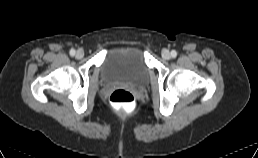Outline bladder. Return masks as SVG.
Instances as JSON below:
<instances>
[{
    "instance_id": "1",
    "label": "bladder",
    "mask_w": 258,
    "mask_h": 158,
    "mask_svg": "<svg viewBox=\"0 0 258 158\" xmlns=\"http://www.w3.org/2000/svg\"><path fill=\"white\" fill-rule=\"evenodd\" d=\"M103 76L112 81H127L143 85L149 76L144 51L138 46L110 50L103 65Z\"/></svg>"
}]
</instances>
